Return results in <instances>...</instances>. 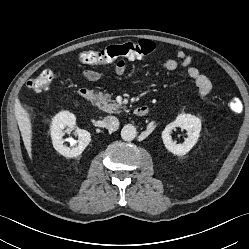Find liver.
<instances>
[{
    "label": "liver",
    "mask_w": 249,
    "mask_h": 249,
    "mask_svg": "<svg viewBox=\"0 0 249 249\" xmlns=\"http://www.w3.org/2000/svg\"><path fill=\"white\" fill-rule=\"evenodd\" d=\"M15 115L22 135L24 146L30 158H32V125L28 112L19 101L15 104Z\"/></svg>",
    "instance_id": "6515ba94"
}]
</instances>
